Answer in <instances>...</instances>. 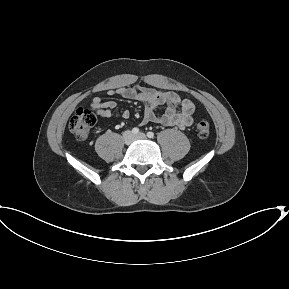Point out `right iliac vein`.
<instances>
[{
    "instance_id": "right-iliac-vein-1",
    "label": "right iliac vein",
    "mask_w": 289,
    "mask_h": 289,
    "mask_svg": "<svg viewBox=\"0 0 289 289\" xmlns=\"http://www.w3.org/2000/svg\"><path fill=\"white\" fill-rule=\"evenodd\" d=\"M123 140H124V142H125L126 144L132 143V141L134 140V136H133L132 132H130V131H125V132L123 133Z\"/></svg>"
}]
</instances>
